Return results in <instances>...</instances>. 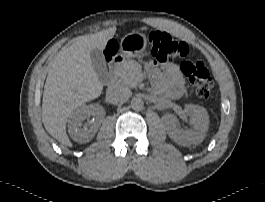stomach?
Instances as JSON below:
<instances>
[{
    "label": "stomach",
    "instance_id": "obj_1",
    "mask_svg": "<svg viewBox=\"0 0 265 202\" xmlns=\"http://www.w3.org/2000/svg\"><path fill=\"white\" fill-rule=\"evenodd\" d=\"M147 47V38L143 33L132 32L125 35L120 42V52L123 58L139 56Z\"/></svg>",
    "mask_w": 265,
    "mask_h": 202
}]
</instances>
